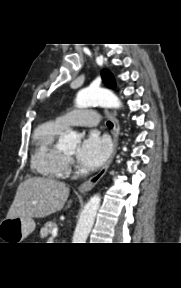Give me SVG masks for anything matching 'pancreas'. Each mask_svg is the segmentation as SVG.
<instances>
[{"mask_svg":"<svg viewBox=\"0 0 181 288\" xmlns=\"http://www.w3.org/2000/svg\"><path fill=\"white\" fill-rule=\"evenodd\" d=\"M56 228L55 222H47L45 223L44 227L40 231V236L42 238H46L50 233H52V230Z\"/></svg>","mask_w":181,"mask_h":288,"instance_id":"cf45deb5","label":"pancreas"}]
</instances>
